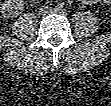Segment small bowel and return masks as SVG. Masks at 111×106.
Masks as SVG:
<instances>
[{
    "mask_svg": "<svg viewBox=\"0 0 111 106\" xmlns=\"http://www.w3.org/2000/svg\"><path fill=\"white\" fill-rule=\"evenodd\" d=\"M83 2H86V3H94V2H98V1H83Z\"/></svg>",
    "mask_w": 111,
    "mask_h": 106,
    "instance_id": "obj_1",
    "label": "small bowel"
}]
</instances>
